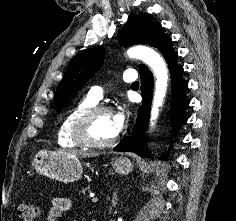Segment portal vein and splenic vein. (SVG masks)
Wrapping results in <instances>:
<instances>
[{
  "label": "portal vein and splenic vein",
  "mask_w": 236,
  "mask_h": 221,
  "mask_svg": "<svg viewBox=\"0 0 236 221\" xmlns=\"http://www.w3.org/2000/svg\"><path fill=\"white\" fill-rule=\"evenodd\" d=\"M92 202H98V198L97 197H93L92 198Z\"/></svg>",
  "instance_id": "18ae733b"
}]
</instances>
